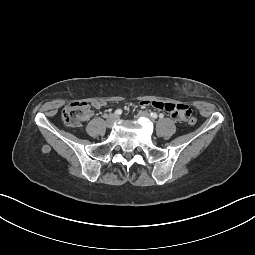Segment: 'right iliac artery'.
Masks as SVG:
<instances>
[{
    "instance_id": "82829eb1",
    "label": "right iliac artery",
    "mask_w": 255,
    "mask_h": 255,
    "mask_svg": "<svg viewBox=\"0 0 255 255\" xmlns=\"http://www.w3.org/2000/svg\"><path fill=\"white\" fill-rule=\"evenodd\" d=\"M122 113V110L121 109H117L116 111H115V114L116 115H120Z\"/></svg>"
}]
</instances>
